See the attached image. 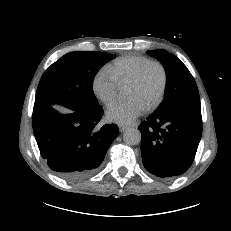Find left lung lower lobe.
Listing matches in <instances>:
<instances>
[{"label":"left lung lower lobe","instance_id":"obj_1","mask_svg":"<svg viewBox=\"0 0 231 231\" xmlns=\"http://www.w3.org/2000/svg\"><path fill=\"white\" fill-rule=\"evenodd\" d=\"M144 167L161 178L183 174L192 164L202 135L200 106L151 114L139 126Z\"/></svg>","mask_w":231,"mask_h":231}]
</instances>
